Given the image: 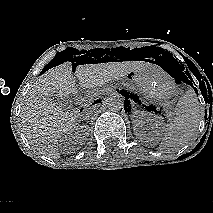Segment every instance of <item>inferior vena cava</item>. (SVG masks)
<instances>
[{
  "instance_id": "obj_1",
  "label": "inferior vena cava",
  "mask_w": 213,
  "mask_h": 213,
  "mask_svg": "<svg viewBox=\"0 0 213 213\" xmlns=\"http://www.w3.org/2000/svg\"><path fill=\"white\" fill-rule=\"evenodd\" d=\"M96 113L94 108L86 107L83 111V116L88 118Z\"/></svg>"
}]
</instances>
